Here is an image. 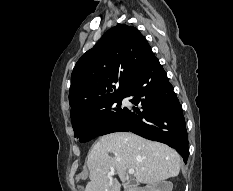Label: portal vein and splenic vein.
I'll return each instance as SVG.
<instances>
[{"mask_svg":"<svg viewBox=\"0 0 233 191\" xmlns=\"http://www.w3.org/2000/svg\"><path fill=\"white\" fill-rule=\"evenodd\" d=\"M128 173H129V174H134V173H135V170H134V169H129V170H128ZM114 174H115V171H114V170H112V171L109 173L110 176H113Z\"/></svg>","mask_w":233,"mask_h":191,"instance_id":"1","label":"portal vein and splenic vein"}]
</instances>
